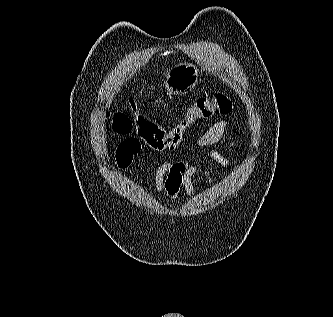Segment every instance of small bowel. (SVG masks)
Returning <instances> with one entry per match:
<instances>
[{
	"label": "small bowel",
	"instance_id": "obj_1",
	"mask_svg": "<svg viewBox=\"0 0 333 317\" xmlns=\"http://www.w3.org/2000/svg\"><path fill=\"white\" fill-rule=\"evenodd\" d=\"M228 125L229 121L227 119L215 122L196 140L195 145L199 148H205L219 143ZM141 147L140 140L135 137L122 141L115 152V166L118 169L128 168L133 159L140 153ZM209 156L214 162L224 168L230 166L229 160L217 150H211ZM197 173H201L209 184L214 182L209 172L187 159L178 161L166 159L156 169L154 178L155 190L159 197L167 196L174 201L179 198L181 191H184L188 197H193V177Z\"/></svg>",
	"mask_w": 333,
	"mask_h": 317
}]
</instances>
